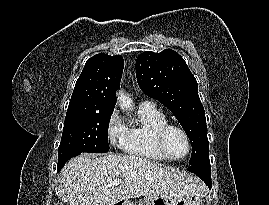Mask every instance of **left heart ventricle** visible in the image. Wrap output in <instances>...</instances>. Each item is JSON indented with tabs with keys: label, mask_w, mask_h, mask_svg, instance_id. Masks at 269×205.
<instances>
[{
	"label": "left heart ventricle",
	"mask_w": 269,
	"mask_h": 205,
	"mask_svg": "<svg viewBox=\"0 0 269 205\" xmlns=\"http://www.w3.org/2000/svg\"><path fill=\"white\" fill-rule=\"evenodd\" d=\"M166 147L174 157H182L187 152V143L184 136L177 130H170L166 137Z\"/></svg>",
	"instance_id": "left-heart-ventricle-1"
}]
</instances>
